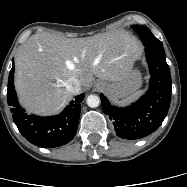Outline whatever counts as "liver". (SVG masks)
Listing matches in <instances>:
<instances>
[{"label":"liver","instance_id":"6515ba94","mask_svg":"<svg viewBox=\"0 0 187 187\" xmlns=\"http://www.w3.org/2000/svg\"><path fill=\"white\" fill-rule=\"evenodd\" d=\"M140 52L137 40L120 31L87 38L34 34L22 45L15 61L19 101L28 112L56 114L74 95L66 88L70 78L80 81V91L91 87L94 76L119 82Z\"/></svg>","mask_w":187,"mask_h":187}]
</instances>
